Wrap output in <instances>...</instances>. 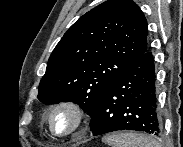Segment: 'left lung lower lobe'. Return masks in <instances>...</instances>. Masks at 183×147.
Instances as JSON below:
<instances>
[{"mask_svg":"<svg viewBox=\"0 0 183 147\" xmlns=\"http://www.w3.org/2000/svg\"><path fill=\"white\" fill-rule=\"evenodd\" d=\"M93 135L135 130L158 135L155 69L152 53L139 56L112 82L91 115Z\"/></svg>","mask_w":183,"mask_h":147,"instance_id":"0a47b994","label":"left lung lower lobe"}]
</instances>
